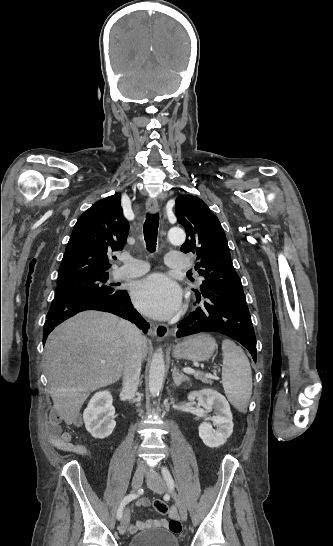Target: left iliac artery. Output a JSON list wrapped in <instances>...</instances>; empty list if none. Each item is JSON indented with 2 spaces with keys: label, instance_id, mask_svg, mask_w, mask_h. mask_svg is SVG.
I'll return each instance as SVG.
<instances>
[{
  "label": "left iliac artery",
  "instance_id": "44dca946",
  "mask_svg": "<svg viewBox=\"0 0 333 546\" xmlns=\"http://www.w3.org/2000/svg\"><path fill=\"white\" fill-rule=\"evenodd\" d=\"M162 474L164 476L165 481L167 482V485L172 489L174 488V480L169 472V470L166 467L162 468Z\"/></svg>",
  "mask_w": 333,
  "mask_h": 546
}]
</instances>
